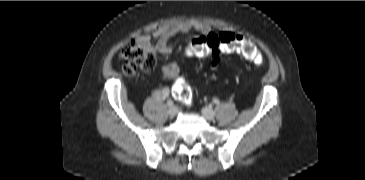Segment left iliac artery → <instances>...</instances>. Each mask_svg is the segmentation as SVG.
Wrapping results in <instances>:
<instances>
[{"label":"left iliac artery","instance_id":"44dca946","mask_svg":"<svg viewBox=\"0 0 365 180\" xmlns=\"http://www.w3.org/2000/svg\"><path fill=\"white\" fill-rule=\"evenodd\" d=\"M214 103L219 105L220 101L218 99H214Z\"/></svg>","mask_w":365,"mask_h":180}]
</instances>
